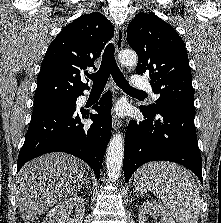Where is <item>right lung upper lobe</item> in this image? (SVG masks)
Masks as SVG:
<instances>
[{"label": "right lung upper lobe", "mask_w": 221, "mask_h": 223, "mask_svg": "<svg viewBox=\"0 0 221 223\" xmlns=\"http://www.w3.org/2000/svg\"><path fill=\"white\" fill-rule=\"evenodd\" d=\"M113 32L111 22L99 12L82 15L67 25L52 41L42 61L34 105L77 98L89 89L80 73L94 67Z\"/></svg>", "instance_id": "right-lung-upper-lobe-1"}]
</instances>
